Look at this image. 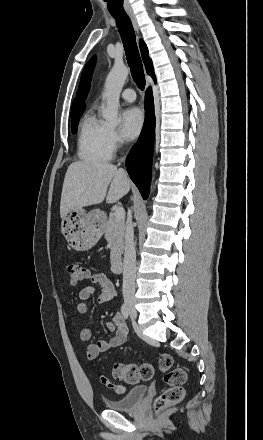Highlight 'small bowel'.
Returning <instances> with one entry per match:
<instances>
[{
  "label": "small bowel",
  "instance_id": "small-bowel-1",
  "mask_svg": "<svg viewBox=\"0 0 263 440\" xmlns=\"http://www.w3.org/2000/svg\"><path fill=\"white\" fill-rule=\"evenodd\" d=\"M90 283L82 288L78 294L76 304L77 312L85 314L88 312L87 300L98 292V301L101 303L111 302L115 299L116 292L111 279L104 273L92 274L89 277ZM107 329L113 333L109 340H98L91 343L86 348L88 359H96L101 353L122 345L127 337V327L124 323L123 315L120 312L114 313L111 320L106 324ZM79 336L82 341H88L92 337L90 327L81 326Z\"/></svg>",
  "mask_w": 263,
  "mask_h": 440
}]
</instances>
